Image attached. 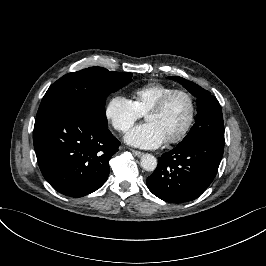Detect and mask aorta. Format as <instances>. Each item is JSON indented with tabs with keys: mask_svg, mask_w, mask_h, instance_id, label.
<instances>
[{
	"mask_svg": "<svg viewBox=\"0 0 266 266\" xmlns=\"http://www.w3.org/2000/svg\"><path fill=\"white\" fill-rule=\"evenodd\" d=\"M141 167L147 171L152 172L157 168V159L151 154H145L140 160Z\"/></svg>",
	"mask_w": 266,
	"mask_h": 266,
	"instance_id": "1",
	"label": "aorta"
}]
</instances>
